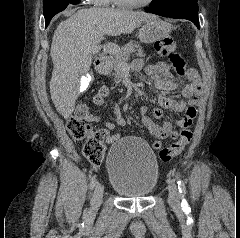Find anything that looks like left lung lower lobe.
<instances>
[{
	"instance_id": "1",
	"label": "left lung lower lobe",
	"mask_w": 240,
	"mask_h": 238,
	"mask_svg": "<svg viewBox=\"0 0 240 238\" xmlns=\"http://www.w3.org/2000/svg\"><path fill=\"white\" fill-rule=\"evenodd\" d=\"M146 12L154 13L163 17L187 19L193 22L198 28V4L191 1H175L163 4L158 7H149Z\"/></svg>"
}]
</instances>
